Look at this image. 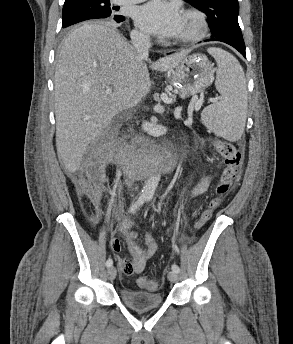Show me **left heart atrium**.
Segmentation results:
<instances>
[{
    "label": "left heart atrium",
    "instance_id": "39dd6f15",
    "mask_svg": "<svg viewBox=\"0 0 293 344\" xmlns=\"http://www.w3.org/2000/svg\"><path fill=\"white\" fill-rule=\"evenodd\" d=\"M135 23L141 30L155 37L171 38L180 32L183 16L176 4L153 0L137 9Z\"/></svg>",
    "mask_w": 293,
    "mask_h": 344
}]
</instances>
